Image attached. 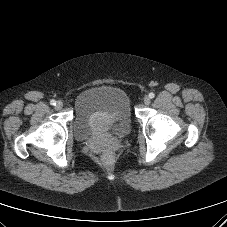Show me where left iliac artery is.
Segmentation results:
<instances>
[{"mask_svg":"<svg viewBox=\"0 0 227 227\" xmlns=\"http://www.w3.org/2000/svg\"><path fill=\"white\" fill-rule=\"evenodd\" d=\"M149 97L152 99L155 97V94L153 92L149 93Z\"/></svg>","mask_w":227,"mask_h":227,"instance_id":"44dca946","label":"left iliac artery"}]
</instances>
